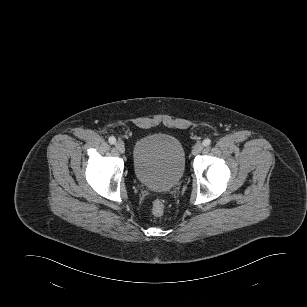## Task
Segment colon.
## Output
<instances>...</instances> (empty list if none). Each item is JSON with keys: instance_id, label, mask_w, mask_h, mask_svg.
<instances>
[{"instance_id": "colon-1", "label": "colon", "mask_w": 307, "mask_h": 307, "mask_svg": "<svg viewBox=\"0 0 307 307\" xmlns=\"http://www.w3.org/2000/svg\"><path fill=\"white\" fill-rule=\"evenodd\" d=\"M151 211H152L153 215H155V216L163 215V213L165 211L164 203L159 199L155 200L152 203Z\"/></svg>"}]
</instances>
